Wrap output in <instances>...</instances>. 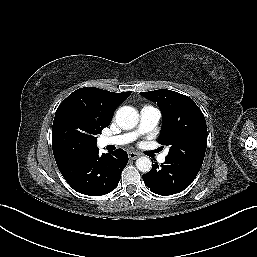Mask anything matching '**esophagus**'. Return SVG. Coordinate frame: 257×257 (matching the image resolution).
I'll return each instance as SVG.
<instances>
[{
    "label": "esophagus",
    "instance_id": "1",
    "mask_svg": "<svg viewBox=\"0 0 257 257\" xmlns=\"http://www.w3.org/2000/svg\"><path fill=\"white\" fill-rule=\"evenodd\" d=\"M128 156H129L130 159L135 160L140 156V154L137 153V152H129Z\"/></svg>",
    "mask_w": 257,
    "mask_h": 257
}]
</instances>
